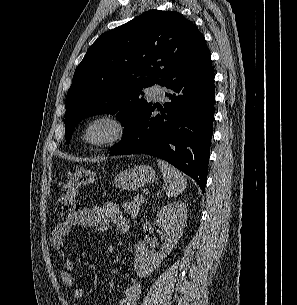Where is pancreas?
<instances>
[{
	"label": "pancreas",
	"mask_w": 297,
	"mask_h": 305,
	"mask_svg": "<svg viewBox=\"0 0 297 305\" xmlns=\"http://www.w3.org/2000/svg\"><path fill=\"white\" fill-rule=\"evenodd\" d=\"M144 199L142 196H135L134 200L127 202L123 205L124 211L131 216V218H136L139 213L140 206L143 204Z\"/></svg>",
	"instance_id": "1"
}]
</instances>
